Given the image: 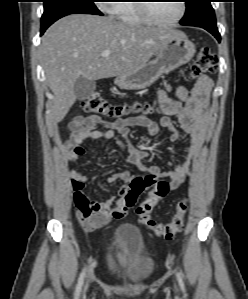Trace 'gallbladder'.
<instances>
[{"label":"gallbladder","mask_w":248,"mask_h":299,"mask_svg":"<svg viewBox=\"0 0 248 299\" xmlns=\"http://www.w3.org/2000/svg\"><path fill=\"white\" fill-rule=\"evenodd\" d=\"M96 89V82L83 76L77 78L74 84V92L78 100L87 99Z\"/></svg>","instance_id":"bac80fb5"}]
</instances>
